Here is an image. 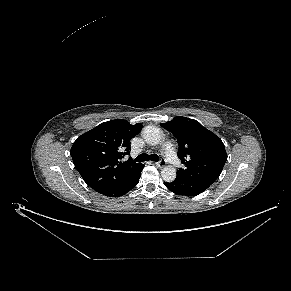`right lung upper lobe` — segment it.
<instances>
[{"instance_id":"1","label":"right lung upper lobe","mask_w":291,"mask_h":291,"mask_svg":"<svg viewBox=\"0 0 291 291\" xmlns=\"http://www.w3.org/2000/svg\"><path fill=\"white\" fill-rule=\"evenodd\" d=\"M124 119L104 122L84 133L74 142L70 154L83 180L95 191L116 187L130 179L141 167L128 154L130 140L141 129Z\"/></svg>"}]
</instances>
